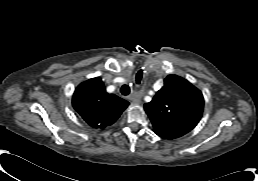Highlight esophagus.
Wrapping results in <instances>:
<instances>
[{
    "instance_id": "esophagus-1",
    "label": "esophagus",
    "mask_w": 258,
    "mask_h": 181,
    "mask_svg": "<svg viewBox=\"0 0 258 181\" xmlns=\"http://www.w3.org/2000/svg\"><path fill=\"white\" fill-rule=\"evenodd\" d=\"M129 99L135 104H139L141 102V98L137 93H133L132 95H130Z\"/></svg>"
}]
</instances>
